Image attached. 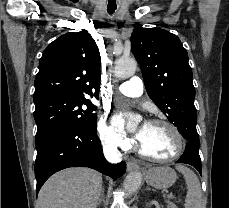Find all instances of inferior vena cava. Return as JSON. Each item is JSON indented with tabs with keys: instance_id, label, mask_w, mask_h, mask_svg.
I'll return each instance as SVG.
<instances>
[{
	"instance_id": "obj_1",
	"label": "inferior vena cava",
	"mask_w": 229,
	"mask_h": 208,
	"mask_svg": "<svg viewBox=\"0 0 229 208\" xmlns=\"http://www.w3.org/2000/svg\"><path fill=\"white\" fill-rule=\"evenodd\" d=\"M104 156L108 162H112V164H116V162H121V158L118 152H112L109 148H105Z\"/></svg>"
}]
</instances>
